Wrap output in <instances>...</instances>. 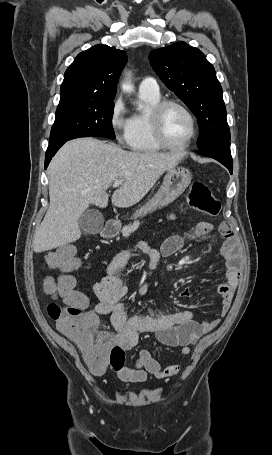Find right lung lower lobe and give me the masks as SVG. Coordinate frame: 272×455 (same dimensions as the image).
Returning a JSON list of instances; mask_svg holds the SVG:
<instances>
[{"instance_id":"98d812e1","label":"right lung lower lobe","mask_w":272,"mask_h":455,"mask_svg":"<svg viewBox=\"0 0 272 455\" xmlns=\"http://www.w3.org/2000/svg\"><path fill=\"white\" fill-rule=\"evenodd\" d=\"M60 142L54 145H49L46 151V156H45V168H47L49 162L51 161L52 157L55 155V153L58 151V149L65 143Z\"/></svg>"}]
</instances>
